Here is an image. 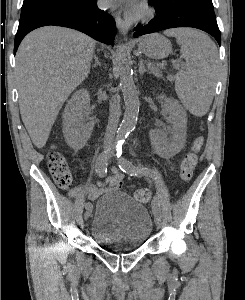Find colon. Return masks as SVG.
<instances>
[{"label":"colon","instance_id":"colon-1","mask_svg":"<svg viewBox=\"0 0 245 300\" xmlns=\"http://www.w3.org/2000/svg\"><path fill=\"white\" fill-rule=\"evenodd\" d=\"M202 145L203 137L198 136L181 162L180 177L185 182L189 181L193 176ZM48 164L50 173L57 186L62 189L68 188L72 178L65 156L61 152L53 150L48 155ZM134 198L140 203H147L151 198V192L147 188H139L134 192Z\"/></svg>","mask_w":245,"mask_h":300}]
</instances>
